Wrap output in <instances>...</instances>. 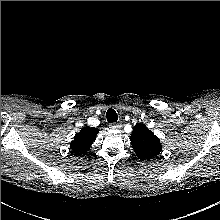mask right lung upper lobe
<instances>
[{
    "instance_id": "1",
    "label": "right lung upper lobe",
    "mask_w": 220,
    "mask_h": 220,
    "mask_svg": "<svg viewBox=\"0 0 220 220\" xmlns=\"http://www.w3.org/2000/svg\"><path fill=\"white\" fill-rule=\"evenodd\" d=\"M99 133L97 128H91L86 126L80 130L74 137V140L70 144V149L75 155L86 154L93 142L96 135Z\"/></svg>"
}]
</instances>
